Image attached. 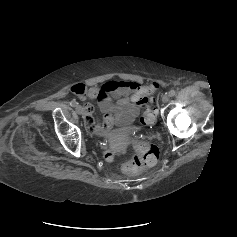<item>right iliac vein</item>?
I'll list each match as a JSON object with an SVG mask.
<instances>
[{
	"mask_svg": "<svg viewBox=\"0 0 237 237\" xmlns=\"http://www.w3.org/2000/svg\"><path fill=\"white\" fill-rule=\"evenodd\" d=\"M76 112H77L79 115H82V114H83V108H82V106L77 105V106H76Z\"/></svg>",
	"mask_w": 237,
	"mask_h": 237,
	"instance_id": "obj_1",
	"label": "right iliac vein"
}]
</instances>
